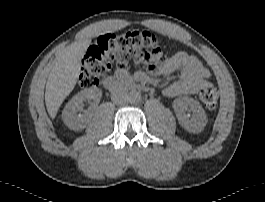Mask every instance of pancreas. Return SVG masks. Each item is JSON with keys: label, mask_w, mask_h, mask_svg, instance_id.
Segmentation results:
<instances>
[{"label": "pancreas", "mask_w": 265, "mask_h": 202, "mask_svg": "<svg viewBox=\"0 0 265 202\" xmlns=\"http://www.w3.org/2000/svg\"><path fill=\"white\" fill-rule=\"evenodd\" d=\"M126 78H127V79H131V76L127 75Z\"/></svg>", "instance_id": "obj_1"}]
</instances>
